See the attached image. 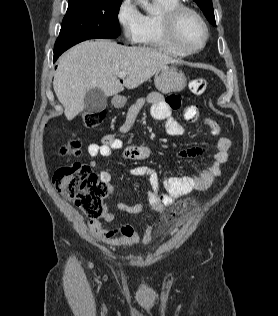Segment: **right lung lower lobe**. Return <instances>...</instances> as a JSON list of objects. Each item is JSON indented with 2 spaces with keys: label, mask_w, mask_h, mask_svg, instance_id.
I'll return each instance as SVG.
<instances>
[{
  "label": "right lung lower lobe",
  "mask_w": 278,
  "mask_h": 316,
  "mask_svg": "<svg viewBox=\"0 0 278 316\" xmlns=\"http://www.w3.org/2000/svg\"><path fill=\"white\" fill-rule=\"evenodd\" d=\"M62 52L54 53V59L53 61L55 62L56 59L61 55Z\"/></svg>",
  "instance_id": "1"
}]
</instances>
